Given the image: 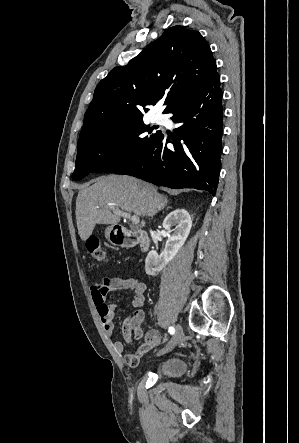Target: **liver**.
Wrapping results in <instances>:
<instances>
[{"label": "liver", "instance_id": "6515ba94", "mask_svg": "<svg viewBox=\"0 0 299 443\" xmlns=\"http://www.w3.org/2000/svg\"><path fill=\"white\" fill-rule=\"evenodd\" d=\"M91 183L82 186L76 199L77 228L83 241L91 236L96 224L116 225L120 209L153 217L168 203L166 196L137 178L112 174Z\"/></svg>", "mask_w": 299, "mask_h": 443}]
</instances>
